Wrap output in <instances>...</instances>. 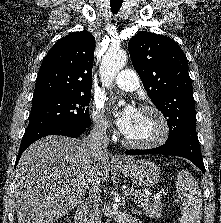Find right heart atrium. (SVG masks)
I'll return each instance as SVG.
<instances>
[{"mask_svg": "<svg viewBox=\"0 0 221 223\" xmlns=\"http://www.w3.org/2000/svg\"><path fill=\"white\" fill-rule=\"evenodd\" d=\"M91 119L97 133L107 134L110 131V123L102 113L101 106L98 103L92 105Z\"/></svg>", "mask_w": 221, "mask_h": 223, "instance_id": "1", "label": "right heart atrium"}]
</instances>
